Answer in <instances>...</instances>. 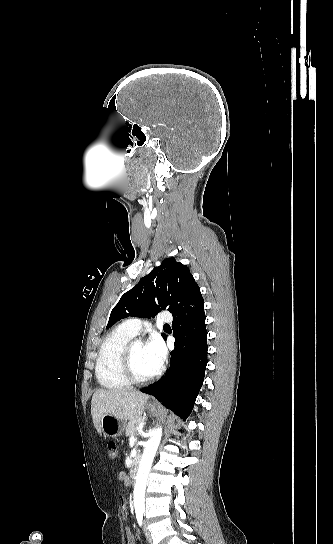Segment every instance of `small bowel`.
<instances>
[{"mask_svg":"<svg viewBox=\"0 0 333 544\" xmlns=\"http://www.w3.org/2000/svg\"><path fill=\"white\" fill-rule=\"evenodd\" d=\"M118 478L125 485H129V479L125 473H120ZM120 506L122 510H126L127 501L124 497L120 498ZM126 540L127 544H135V537L129 529L126 531Z\"/></svg>","mask_w":333,"mask_h":544,"instance_id":"obj_1","label":"small bowel"}]
</instances>
